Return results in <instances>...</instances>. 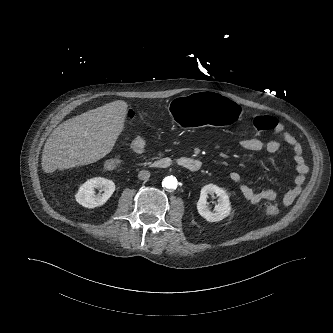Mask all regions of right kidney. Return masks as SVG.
<instances>
[{"label":"right kidney","instance_id":"1","mask_svg":"<svg viewBox=\"0 0 333 333\" xmlns=\"http://www.w3.org/2000/svg\"><path fill=\"white\" fill-rule=\"evenodd\" d=\"M95 188L104 191L95 195ZM115 183L103 177H95L83 183L76 194V201L86 208H95L103 205L114 193Z\"/></svg>","mask_w":333,"mask_h":333}]
</instances>
